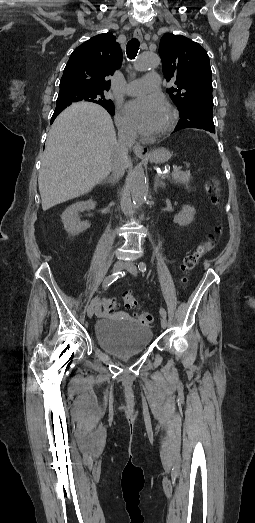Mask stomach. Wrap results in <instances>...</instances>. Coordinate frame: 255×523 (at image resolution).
Segmentation results:
<instances>
[{"mask_svg": "<svg viewBox=\"0 0 255 523\" xmlns=\"http://www.w3.org/2000/svg\"><path fill=\"white\" fill-rule=\"evenodd\" d=\"M147 156H149L150 162H154V164H162V162H166L170 158V154L165 148H158L151 154H145V156H140V158H147Z\"/></svg>", "mask_w": 255, "mask_h": 523, "instance_id": "0dacf381", "label": "stomach"}]
</instances>
